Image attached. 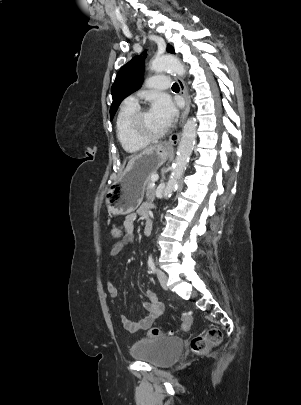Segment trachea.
Masks as SVG:
<instances>
[{"mask_svg":"<svg viewBox=\"0 0 301 405\" xmlns=\"http://www.w3.org/2000/svg\"><path fill=\"white\" fill-rule=\"evenodd\" d=\"M172 89L173 90H179V85L177 84V83H174L173 85H172Z\"/></svg>","mask_w":301,"mask_h":405,"instance_id":"1","label":"trachea"}]
</instances>
